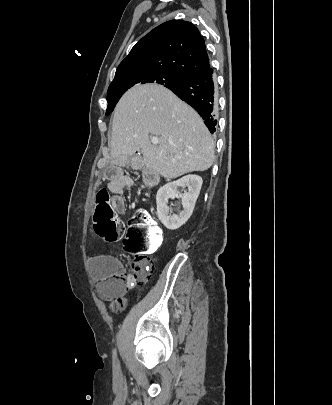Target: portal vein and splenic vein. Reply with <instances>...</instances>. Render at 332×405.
Instances as JSON below:
<instances>
[{
    "label": "portal vein and splenic vein",
    "mask_w": 332,
    "mask_h": 405,
    "mask_svg": "<svg viewBox=\"0 0 332 405\" xmlns=\"http://www.w3.org/2000/svg\"><path fill=\"white\" fill-rule=\"evenodd\" d=\"M151 142H152L154 145H158L159 139H158L157 137H151Z\"/></svg>",
    "instance_id": "1"
}]
</instances>
